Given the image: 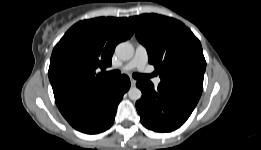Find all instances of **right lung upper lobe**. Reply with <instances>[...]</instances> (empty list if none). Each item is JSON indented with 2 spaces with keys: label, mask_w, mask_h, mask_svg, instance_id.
Listing matches in <instances>:
<instances>
[{
  "label": "right lung upper lobe",
  "mask_w": 261,
  "mask_h": 150,
  "mask_svg": "<svg viewBox=\"0 0 261 150\" xmlns=\"http://www.w3.org/2000/svg\"><path fill=\"white\" fill-rule=\"evenodd\" d=\"M133 32L127 18L100 17L80 21L65 33L53 49L48 72L60 112L116 80L96 69L111 66L116 45Z\"/></svg>",
  "instance_id": "1"
}]
</instances>
